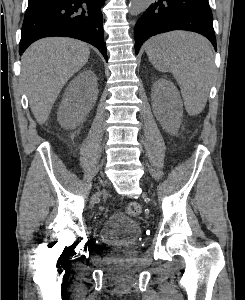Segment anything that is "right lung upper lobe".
I'll use <instances>...</instances> for the list:
<instances>
[{
    "mask_svg": "<svg viewBox=\"0 0 245 300\" xmlns=\"http://www.w3.org/2000/svg\"><path fill=\"white\" fill-rule=\"evenodd\" d=\"M38 1H41V0H29L30 3H36Z\"/></svg>",
    "mask_w": 245,
    "mask_h": 300,
    "instance_id": "obj_1",
    "label": "right lung upper lobe"
}]
</instances>
